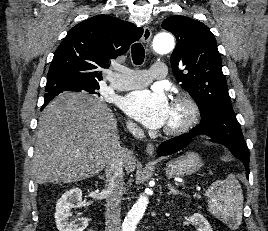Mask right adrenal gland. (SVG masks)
<instances>
[{
    "mask_svg": "<svg viewBox=\"0 0 268 231\" xmlns=\"http://www.w3.org/2000/svg\"><path fill=\"white\" fill-rule=\"evenodd\" d=\"M99 178H100L101 180H104V181H105L104 176H99Z\"/></svg>",
    "mask_w": 268,
    "mask_h": 231,
    "instance_id": "right-adrenal-gland-1",
    "label": "right adrenal gland"
}]
</instances>
